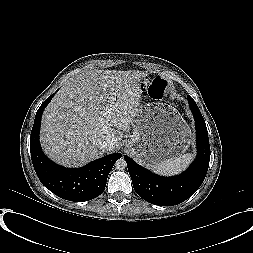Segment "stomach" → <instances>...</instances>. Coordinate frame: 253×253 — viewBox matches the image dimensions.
I'll use <instances>...</instances> for the list:
<instances>
[{"label": "stomach", "instance_id": "0dacf381", "mask_svg": "<svg viewBox=\"0 0 253 253\" xmlns=\"http://www.w3.org/2000/svg\"><path fill=\"white\" fill-rule=\"evenodd\" d=\"M131 125L133 134L125 147L140 164L147 167L181 156L192 139L186 121L167 102L141 105Z\"/></svg>", "mask_w": 253, "mask_h": 253}]
</instances>
